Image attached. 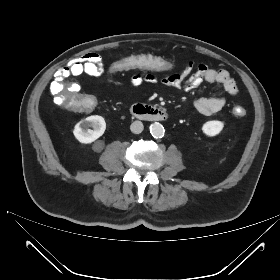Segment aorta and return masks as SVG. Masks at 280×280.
Masks as SVG:
<instances>
[{"mask_svg": "<svg viewBox=\"0 0 280 280\" xmlns=\"http://www.w3.org/2000/svg\"><path fill=\"white\" fill-rule=\"evenodd\" d=\"M150 133L154 138H162L164 136V127L160 123H153L149 127Z\"/></svg>", "mask_w": 280, "mask_h": 280, "instance_id": "obj_1", "label": "aorta"}]
</instances>
